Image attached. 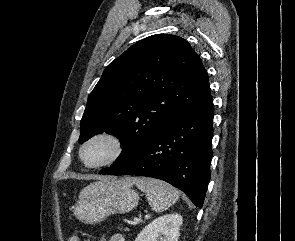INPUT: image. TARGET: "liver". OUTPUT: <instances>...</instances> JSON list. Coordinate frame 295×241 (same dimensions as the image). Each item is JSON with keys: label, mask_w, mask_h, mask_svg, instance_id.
<instances>
[{"label": "liver", "mask_w": 295, "mask_h": 241, "mask_svg": "<svg viewBox=\"0 0 295 241\" xmlns=\"http://www.w3.org/2000/svg\"><path fill=\"white\" fill-rule=\"evenodd\" d=\"M126 184H128V185H133L134 184V179H132V178H126Z\"/></svg>", "instance_id": "obj_1"}]
</instances>
